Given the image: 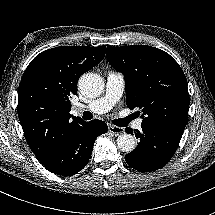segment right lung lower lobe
<instances>
[{"label":"right lung lower lobe","mask_w":215,"mask_h":215,"mask_svg":"<svg viewBox=\"0 0 215 215\" xmlns=\"http://www.w3.org/2000/svg\"><path fill=\"white\" fill-rule=\"evenodd\" d=\"M107 130V124L101 120H82L75 123L42 164L50 172L58 175L72 176L78 173L87 165L95 139Z\"/></svg>","instance_id":"obj_1"}]
</instances>
